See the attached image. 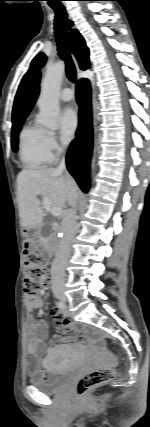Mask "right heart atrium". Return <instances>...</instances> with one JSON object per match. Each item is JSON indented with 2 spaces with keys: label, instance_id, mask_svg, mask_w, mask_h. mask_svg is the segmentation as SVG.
<instances>
[{
  "label": "right heart atrium",
  "instance_id": "obj_1",
  "mask_svg": "<svg viewBox=\"0 0 150 427\" xmlns=\"http://www.w3.org/2000/svg\"><path fill=\"white\" fill-rule=\"evenodd\" d=\"M45 146L47 149V152L51 159H54V157L59 153L61 146L60 143L55 135V133L51 131H46L45 134Z\"/></svg>",
  "mask_w": 150,
  "mask_h": 427
}]
</instances>
